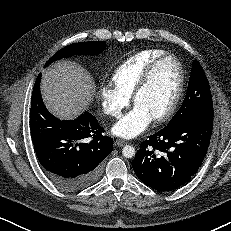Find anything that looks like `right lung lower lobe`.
<instances>
[{
  "instance_id": "obj_1",
  "label": "right lung lower lobe",
  "mask_w": 231,
  "mask_h": 231,
  "mask_svg": "<svg viewBox=\"0 0 231 231\" xmlns=\"http://www.w3.org/2000/svg\"><path fill=\"white\" fill-rule=\"evenodd\" d=\"M41 74L33 88L30 133L46 176L65 191L86 188L101 175L113 139L102 135L95 116L85 112L75 120H59L48 112L40 93Z\"/></svg>"
}]
</instances>
